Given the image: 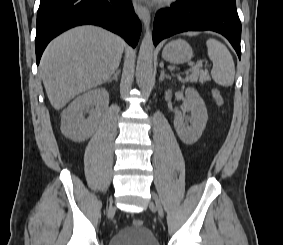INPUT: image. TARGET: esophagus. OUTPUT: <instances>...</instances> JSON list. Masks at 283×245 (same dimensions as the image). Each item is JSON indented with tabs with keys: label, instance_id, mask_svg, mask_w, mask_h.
I'll use <instances>...</instances> for the list:
<instances>
[{
	"label": "esophagus",
	"instance_id": "obj_1",
	"mask_svg": "<svg viewBox=\"0 0 283 245\" xmlns=\"http://www.w3.org/2000/svg\"><path fill=\"white\" fill-rule=\"evenodd\" d=\"M133 6H134V9H135L138 17L143 22L145 29H147L148 25L150 23V20H151L150 13H149L148 9L144 6H142L141 4H139L138 2H136L135 0L133 1Z\"/></svg>",
	"mask_w": 283,
	"mask_h": 245
}]
</instances>
